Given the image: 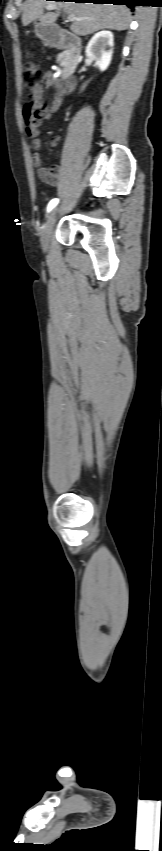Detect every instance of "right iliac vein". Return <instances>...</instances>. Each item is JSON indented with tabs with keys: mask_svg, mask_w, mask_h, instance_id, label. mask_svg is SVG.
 <instances>
[{
	"mask_svg": "<svg viewBox=\"0 0 162 851\" xmlns=\"http://www.w3.org/2000/svg\"><path fill=\"white\" fill-rule=\"evenodd\" d=\"M66 207V204H63L59 207H56L52 210L47 222L44 225L41 235V245L43 250H47L50 242V237L55 226L57 216L61 213Z\"/></svg>",
	"mask_w": 162,
	"mask_h": 851,
	"instance_id": "right-iliac-vein-1",
	"label": "right iliac vein"
}]
</instances>
